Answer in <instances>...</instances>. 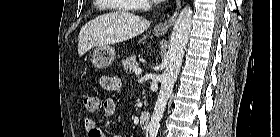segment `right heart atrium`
Returning a JSON list of instances; mask_svg holds the SVG:
<instances>
[{
	"label": "right heart atrium",
	"instance_id": "obj_1",
	"mask_svg": "<svg viewBox=\"0 0 280 137\" xmlns=\"http://www.w3.org/2000/svg\"><path fill=\"white\" fill-rule=\"evenodd\" d=\"M147 6V1H142V7Z\"/></svg>",
	"mask_w": 280,
	"mask_h": 137
}]
</instances>
